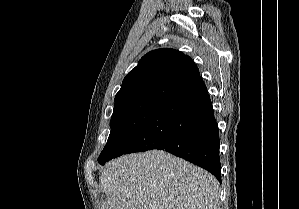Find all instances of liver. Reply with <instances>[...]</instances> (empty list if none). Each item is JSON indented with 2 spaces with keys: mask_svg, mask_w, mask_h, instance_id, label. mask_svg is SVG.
I'll return each mask as SVG.
<instances>
[{
  "mask_svg": "<svg viewBox=\"0 0 299 209\" xmlns=\"http://www.w3.org/2000/svg\"><path fill=\"white\" fill-rule=\"evenodd\" d=\"M101 209H220L209 172L162 150L121 156L99 178Z\"/></svg>",
  "mask_w": 299,
  "mask_h": 209,
  "instance_id": "6515ba94",
  "label": "liver"
}]
</instances>
